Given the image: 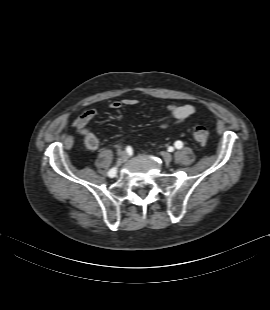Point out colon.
<instances>
[{
    "label": "colon",
    "mask_w": 270,
    "mask_h": 310,
    "mask_svg": "<svg viewBox=\"0 0 270 310\" xmlns=\"http://www.w3.org/2000/svg\"><path fill=\"white\" fill-rule=\"evenodd\" d=\"M209 131L203 125H197L193 129V138L200 144H205L208 141Z\"/></svg>",
    "instance_id": "colon-1"
}]
</instances>
